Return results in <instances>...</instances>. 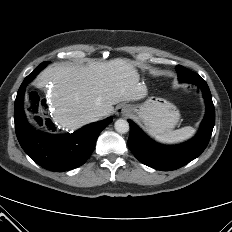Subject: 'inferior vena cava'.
<instances>
[{"label": "inferior vena cava", "instance_id": "inferior-vena-cava-1", "mask_svg": "<svg viewBox=\"0 0 232 232\" xmlns=\"http://www.w3.org/2000/svg\"><path fill=\"white\" fill-rule=\"evenodd\" d=\"M106 112L104 111H96L91 113V115L89 116V119L91 122L97 121L99 120L101 117L105 116Z\"/></svg>", "mask_w": 232, "mask_h": 232}]
</instances>
